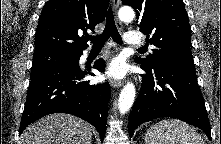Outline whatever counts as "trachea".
I'll list each match as a JSON object with an SVG mask.
<instances>
[{
  "mask_svg": "<svg viewBox=\"0 0 221 144\" xmlns=\"http://www.w3.org/2000/svg\"><path fill=\"white\" fill-rule=\"evenodd\" d=\"M110 37L117 44L123 43L122 38L115 25L112 8H109L108 10V13L106 16V25L102 34L98 36H89L88 39L93 44V47H102ZM139 50H144V48H139Z\"/></svg>",
  "mask_w": 221,
  "mask_h": 144,
  "instance_id": "3493384b",
  "label": "trachea"
}]
</instances>
